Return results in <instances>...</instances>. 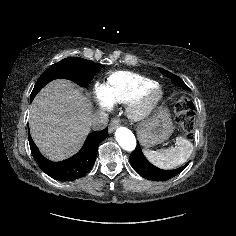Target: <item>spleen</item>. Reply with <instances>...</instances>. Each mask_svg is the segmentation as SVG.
Listing matches in <instances>:
<instances>
[{
  "instance_id": "spleen-1",
  "label": "spleen",
  "mask_w": 236,
  "mask_h": 236,
  "mask_svg": "<svg viewBox=\"0 0 236 236\" xmlns=\"http://www.w3.org/2000/svg\"><path fill=\"white\" fill-rule=\"evenodd\" d=\"M193 144L186 138L177 137L176 146L160 150H144L146 158L161 169H173L187 161L193 152Z\"/></svg>"
}]
</instances>
